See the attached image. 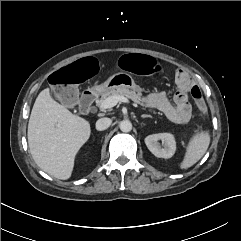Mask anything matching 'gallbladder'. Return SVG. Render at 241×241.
Masks as SVG:
<instances>
[{"label": "gallbladder", "mask_w": 241, "mask_h": 241, "mask_svg": "<svg viewBox=\"0 0 241 241\" xmlns=\"http://www.w3.org/2000/svg\"><path fill=\"white\" fill-rule=\"evenodd\" d=\"M66 92H70V95L68 96V98H66L67 100H64L63 103L66 107H73L78 103L79 90L77 89V87H70L66 90Z\"/></svg>", "instance_id": "1"}]
</instances>
